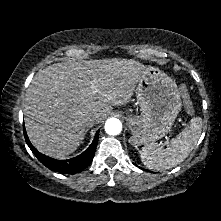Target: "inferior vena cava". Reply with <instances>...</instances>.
<instances>
[{"mask_svg":"<svg viewBox=\"0 0 221 221\" xmlns=\"http://www.w3.org/2000/svg\"><path fill=\"white\" fill-rule=\"evenodd\" d=\"M97 121H98V119L96 116L88 115L85 118V125H86V127L90 128V127L94 126L97 123Z\"/></svg>","mask_w":221,"mask_h":221,"instance_id":"1","label":"inferior vena cava"}]
</instances>
